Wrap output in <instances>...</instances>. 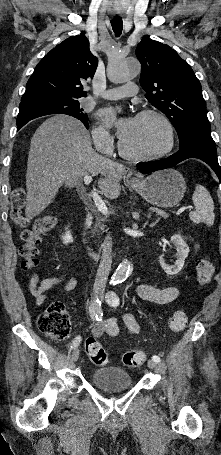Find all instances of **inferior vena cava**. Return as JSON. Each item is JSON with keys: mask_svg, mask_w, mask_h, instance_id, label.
I'll list each match as a JSON object with an SVG mask.
<instances>
[{"mask_svg": "<svg viewBox=\"0 0 221 455\" xmlns=\"http://www.w3.org/2000/svg\"><path fill=\"white\" fill-rule=\"evenodd\" d=\"M102 256L97 271L94 287L104 288L107 283L108 275L111 270L112 264V238L110 235L105 237V240L101 246Z\"/></svg>", "mask_w": 221, "mask_h": 455, "instance_id": "1", "label": "inferior vena cava"}]
</instances>
